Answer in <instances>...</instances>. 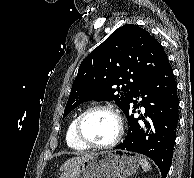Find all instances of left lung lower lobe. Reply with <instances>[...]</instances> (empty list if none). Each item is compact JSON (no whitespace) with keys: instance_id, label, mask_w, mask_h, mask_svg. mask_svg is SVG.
I'll use <instances>...</instances> for the list:
<instances>
[{"instance_id":"1","label":"left lung lower lobe","mask_w":194,"mask_h":178,"mask_svg":"<svg viewBox=\"0 0 194 178\" xmlns=\"http://www.w3.org/2000/svg\"><path fill=\"white\" fill-rule=\"evenodd\" d=\"M134 97H141V102L133 100ZM140 105L146 110L145 117L152 121L153 130L147 135L140 129V118L133 116ZM178 106L177 84L167 60L161 70L138 86L129 98L124 112L129 123L128 134L115 148L148 156L159 167L162 178H166L172 163L179 119ZM145 124L151 127L149 123Z\"/></svg>"}]
</instances>
